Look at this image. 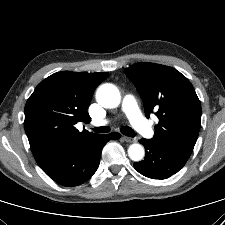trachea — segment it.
<instances>
[{
  "label": "trachea",
  "mask_w": 225,
  "mask_h": 225,
  "mask_svg": "<svg viewBox=\"0 0 225 225\" xmlns=\"http://www.w3.org/2000/svg\"><path fill=\"white\" fill-rule=\"evenodd\" d=\"M93 131L95 133H108L110 131V128L109 127H106V126L95 127V128H93ZM121 133L124 134V135H126V136H128V137H134L135 136L134 131L129 126H123V127H121Z\"/></svg>",
  "instance_id": "trachea-1"
}]
</instances>
